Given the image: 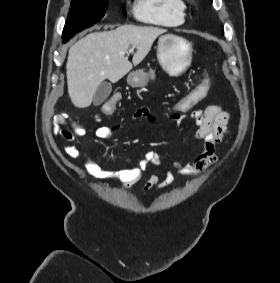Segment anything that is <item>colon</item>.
<instances>
[{"label":"colon","instance_id":"obj_1","mask_svg":"<svg viewBox=\"0 0 280 283\" xmlns=\"http://www.w3.org/2000/svg\"><path fill=\"white\" fill-rule=\"evenodd\" d=\"M211 84L208 79H201L195 87L187 91V94H182V97L175 100L173 107H165V112H192V108L196 105H200V102H204L207 95H211ZM112 99H106V103L102 108L104 116H117L118 112L116 108L119 107L117 99H121V94H112ZM55 123L59 126L60 130L58 135L66 142H71L74 138V130H77L75 125H68L65 118L57 115L55 118ZM67 126V127H66Z\"/></svg>","mask_w":280,"mask_h":283}]
</instances>
